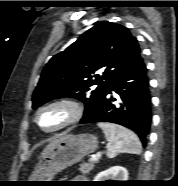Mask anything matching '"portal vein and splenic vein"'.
<instances>
[{"label":"portal vein and splenic vein","mask_w":178,"mask_h":186,"mask_svg":"<svg viewBox=\"0 0 178 186\" xmlns=\"http://www.w3.org/2000/svg\"><path fill=\"white\" fill-rule=\"evenodd\" d=\"M101 152H98L96 155H92L90 158V162L95 161L96 159L100 158Z\"/></svg>","instance_id":"obj_1"}]
</instances>
